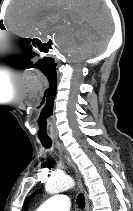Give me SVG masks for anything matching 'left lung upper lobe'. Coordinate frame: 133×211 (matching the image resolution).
Instances as JSON below:
<instances>
[{
	"label": "left lung upper lobe",
	"instance_id": "obj_1",
	"mask_svg": "<svg viewBox=\"0 0 133 211\" xmlns=\"http://www.w3.org/2000/svg\"><path fill=\"white\" fill-rule=\"evenodd\" d=\"M28 201H29V198L26 200V202H25V204L23 206V210L22 211H25Z\"/></svg>",
	"mask_w": 133,
	"mask_h": 211
}]
</instances>
